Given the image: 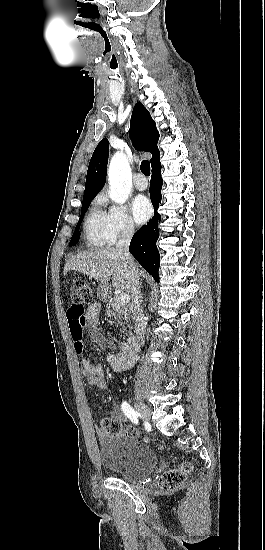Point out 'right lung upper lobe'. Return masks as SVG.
<instances>
[{"label":"right lung upper lobe","instance_id":"right-lung-upper-lobe-1","mask_svg":"<svg viewBox=\"0 0 265 550\" xmlns=\"http://www.w3.org/2000/svg\"><path fill=\"white\" fill-rule=\"evenodd\" d=\"M130 138L136 149L151 152V166L160 161L159 149L157 147L159 133L156 129L155 121L141 102L136 103L132 112ZM108 155V140L103 139L97 145L90 160L83 199L94 198L104 186Z\"/></svg>","mask_w":265,"mask_h":550}]
</instances>
